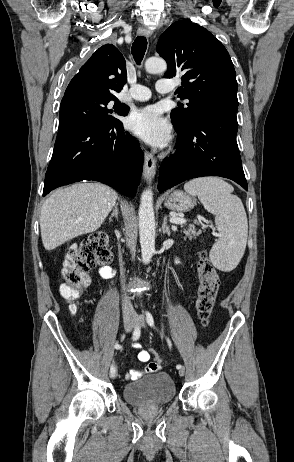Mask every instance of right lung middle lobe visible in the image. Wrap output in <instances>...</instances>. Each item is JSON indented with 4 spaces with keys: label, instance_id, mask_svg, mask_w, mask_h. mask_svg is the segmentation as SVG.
<instances>
[{
    "label": "right lung middle lobe",
    "instance_id": "dd1d6c3e",
    "mask_svg": "<svg viewBox=\"0 0 294 462\" xmlns=\"http://www.w3.org/2000/svg\"><path fill=\"white\" fill-rule=\"evenodd\" d=\"M113 113L125 115V105L115 96L71 95L62 99L58 131L82 125L110 124L118 120Z\"/></svg>",
    "mask_w": 294,
    "mask_h": 462
}]
</instances>
